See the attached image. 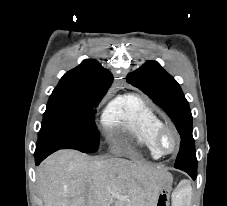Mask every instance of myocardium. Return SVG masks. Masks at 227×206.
<instances>
[{
	"label": "myocardium",
	"instance_id": "obj_1",
	"mask_svg": "<svg viewBox=\"0 0 227 206\" xmlns=\"http://www.w3.org/2000/svg\"><path fill=\"white\" fill-rule=\"evenodd\" d=\"M167 134H171L174 138V147L172 150H167L163 146V139ZM153 143L154 147L161 155H170L178 151L180 146V136L173 126L162 124L154 133Z\"/></svg>",
	"mask_w": 227,
	"mask_h": 206
}]
</instances>
